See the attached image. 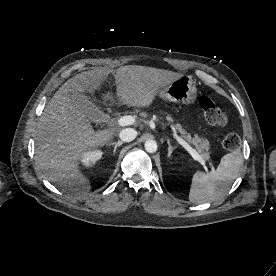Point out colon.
Returning <instances> with one entry per match:
<instances>
[{
    "label": "colon",
    "instance_id": "colon-1",
    "mask_svg": "<svg viewBox=\"0 0 276 276\" xmlns=\"http://www.w3.org/2000/svg\"><path fill=\"white\" fill-rule=\"evenodd\" d=\"M199 105L204 113L206 121L217 127H224L228 118L227 115L216 105L209 96L203 95L199 98ZM223 146L228 151H237L241 146L238 135L229 134L223 140Z\"/></svg>",
    "mask_w": 276,
    "mask_h": 276
}]
</instances>
